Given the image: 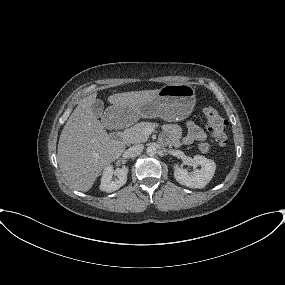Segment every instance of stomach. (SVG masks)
<instances>
[{
	"mask_svg": "<svg viewBox=\"0 0 285 285\" xmlns=\"http://www.w3.org/2000/svg\"><path fill=\"white\" fill-rule=\"evenodd\" d=\"M196 103L195 89L189 84H168L146 102L132 107L113 105V118L119 123L134 122L140 118H161L180 121L191 114Z\"/></svg>",
	"mask_w": 285,
	"mask_h": 285,
	"instance_id": "1",
	"label": "stomach"
}]
</instances>
